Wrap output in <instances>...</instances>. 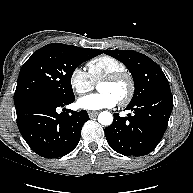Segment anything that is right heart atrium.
<instances>
[{
  "instance_id": "1",
  "label": "right heart atrium",
  "mask_w": 193,
  "mask_h": 193,
  "mask_svg": "<svg viewBox=\"0 0 193 193\" xmlns=\"http://www.w3.org/2000/svg\"><path fill=\"white\" fill-rule=\"evenodd\" d=\"M69 85L76 94L81 95L92 90L94 82L86 70L76 67L69 75Z\"/></svg>"
}]
</instances>
